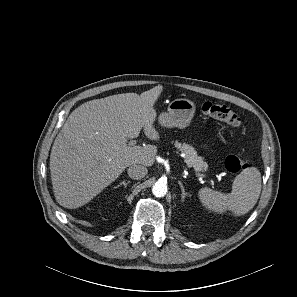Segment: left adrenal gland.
<instances>
[{
    "label": "left adrenal gland",
    "instance_id": "obj_1",
    "mask_svg": "<svg viewBox=\"0 0 297 297\" xmlns=\"http://www.w3.org/2000/svg\"><path fill=\"white\" fill-rule=\"evenodd\" d=\"M178 184L180 185V188H181V191H182L181 198H182V201H183L184 198H185L188 194L186 193L185 188H184L182 182H181V181H178Z\"/></svg>",
    "mask_w": 297,
    "mask_h": 297
}]
</instances>
